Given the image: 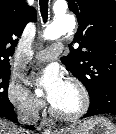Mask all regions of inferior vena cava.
<instances>
[{
	"mask_svg": "<svg viewBox=\"0 0 116 134\" xmlns=\"http://www.w3.org/2000/svg\"><path fill=\"white\" fill-rule=\"evenodd\" d=\"M38 118L39 112L34 104L22 107L18 111V120L23 125L34 124L37 122ZM19 131L24 132V129H20Z\"/></svg>",
	"mask_w": 116,
	"mask_h": 134,
	"instance_id": "1",
	"label": "inferior vena cava"
}]
</instances>
